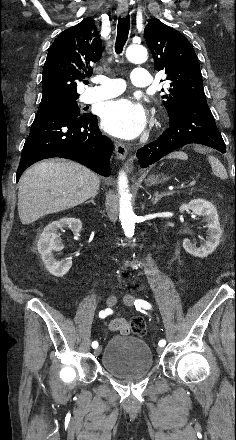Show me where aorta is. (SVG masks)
<instances>
[{"mask_svg": "<svg viewBox=\"0 0 236 440\" xmlns=\"http://www.w3.org/2000/svg\"><path fill=\"white\" fill-rule=\"evenodd\" d=\"M126 58L132 63H143L147 60V49L142 45H130L126 49ZM119 190V219L126 237L131 238L134 235L136 215L133 212L131 204V194L129 193L128 179L122 171L118 176Z\"/></svg>", "mask_w": 236, "mask_h": 440, "instance_id": "obj_1", "label": "aorta"}]
</instances>
